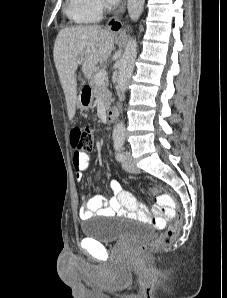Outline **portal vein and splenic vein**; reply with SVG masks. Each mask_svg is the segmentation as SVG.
Masks as SVG:
<instances>
[{"instance_id": "portal-vein-and-splenic-vein-1", "label": "portal vein and splenic vein", "mask_w": 227, "mask_h": 298, "mask_svg": "<svg viewBox=\"0 0 227 298\" xmlns=\"http://www.w3.org/2000/svg\"><path fill=\"white\" fill-rule=\"evenodd\" d=\"M78 64H81L80 60H77ZM107 73L104 69L100 70L95 76V82L97 84H102L106 80Z\"/></svg>"}]
</instances>
